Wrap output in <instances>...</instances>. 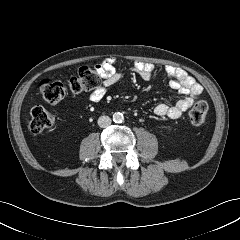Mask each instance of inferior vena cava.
Wrapping results in <instances>:
<instances>
[{
  "mask_svg": "<svg viewBox=\"0 0 240 240\" xmlns=\"http://www.w3.org/2000/svg\"><path fill=\"white\" fill-rule=\"evenodd\" d=\"M111 124V119L108 116H100L98 119V125L101 128H106Z\"/></svg>",
  "mask_w": 240,
  "mask_h": 240,
  "instance_id": "1",
  "label": "inferior vena cava"
}]
</instances>
